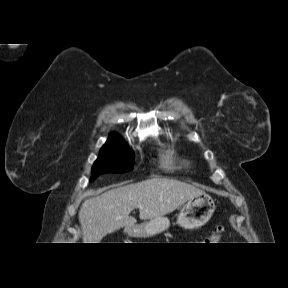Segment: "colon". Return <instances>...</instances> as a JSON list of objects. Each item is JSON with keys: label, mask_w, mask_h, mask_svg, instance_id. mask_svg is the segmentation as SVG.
<instances>
[{"label": "colon", "mask_w": 288, "mask_h": 288, "mask_svg": "<svg viewBox=\"0 0 288 288\" xmlns=\"http://www.w3.org/2000/svg\"><path fill=\"white\" fill-rule=\"evenodd\" d=\"M224 228L222 226H218L214 232V234L208 239L210 243H218L222 237Z\"/></svg>", "instance_id": "colon-1"}]
</instances>
